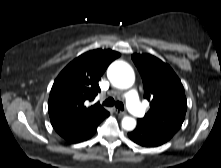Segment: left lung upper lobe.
Returning <instances> with one entry per match:
<instances>
[{"label": "left lung upper lobe", "instance_id": "1", "mask_svg": "<svg viewBox=\"0 0 221 168\" xmlns=\"http://www.w3.org/2000/svg\"><path fill=\"white\" fill-rule=\"evenodd\" d=\"M143 80L144 97L150 110L139 119L173 136L182 126L187 110L183 85L172 68L150 54H133Z\"/></svg>", "mask_w": 221, "mask_h": 168}]
</instances>
